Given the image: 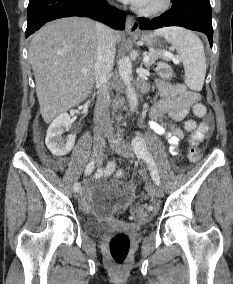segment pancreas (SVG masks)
<instances>
[{"label":"pancreas","mask_w":233,"mask_h":284,"mask_svg":"<svg viewBox=\"0 0 233 284\" xmlns=\"http://www.w3.org/2000/svg\"><path fill=\"white\" fill-rule=\"evenodd\" d=\"M164 50H152L148 52V56H149V61L145 63V66L147 68H149L151 65H153L155 63V61L159 58L161 59H166L165 55H164Z\"/></svg>","instance_id":"pancreas-1"}]
</instances>
